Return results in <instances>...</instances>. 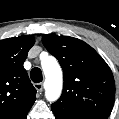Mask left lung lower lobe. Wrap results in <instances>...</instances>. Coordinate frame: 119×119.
<instances>
[{
  "label": "left lung lower lobe",
  "instance_id": "0a47b994",
  "mask_svg": "<svg viewBox=\"0 0 119 119\" xmlns=\"http://www.w3.org/2000/svg\"><path fill=\"white\" fill-rule=\"evenodd\" d=\"M52 111L56 119H107V117L83 115L71 111H59L54 108H52Z\"/></svg>",
  "mask_w": 119,
  "mask_h": 119
}]
</instances>
